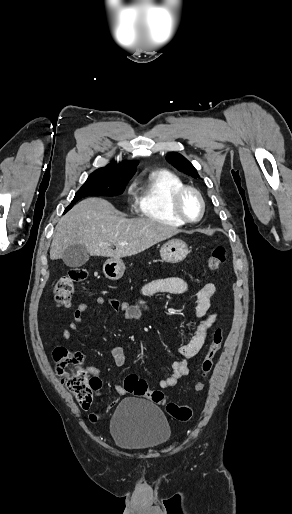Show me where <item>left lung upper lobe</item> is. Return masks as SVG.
<instances>
[{
  "label": "left lung upper lobe",
  "instance_id": "5c2ea615",
  "mask_svg": "<svg viewBox=\"0 0 292 514\" xmlns=\"http://www.w3.org/2000/svg\"><path fill=\"white\" fill-rule=\"evenodd\" d=\"M166 160L176 167L179 171L184 172L187 175L192 176L193 178H199L197 170L194 166L181 154L179 153H169L166 156Z\"/></svg>",
  "mask_w": 292,
  "mask_h": 514
}]
</instances>
